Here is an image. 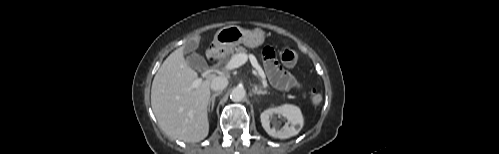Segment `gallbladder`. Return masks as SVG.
<instances>
[{"mask_svg":"<svg viewBox=\"0 0 499 154\" xmlns=\"http://www.w3.org/2000/svg\"><path fill=\"white\" fill-rule=\"evenodd\" d=\"M198 47V40L191 39L186 42L185 44V51L190 53L189 55L186 56V62L187 64L193 68V69H202L206 66V62L204 58L195 53L194 50Z\"/></svg>","mask_w":499,"mask_h":154,"instance_id":"1","label":"gallbladder"}]
</instances>
